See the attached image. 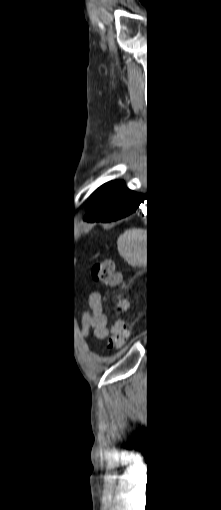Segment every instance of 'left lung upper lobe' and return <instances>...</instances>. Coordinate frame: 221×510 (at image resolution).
<instances>
[{
  "mask_svg": "<svg viewBox=\"0 0 221 510\" xmlns=\"http://www.w3.org/2000/svg\"><path fill=\"white\" fill-rule=\"evenodd\" d=\"M125 188L126 186L123 181H111L103 184L90 198L88 203L89 211L96 210L107 205Z\"/></svg>",
  "mask_w": 221,
  "mask_h": 510,
  "instance_id": "5c2ea615",
  "label": "left lung upper lobe"
}]
</instances>
